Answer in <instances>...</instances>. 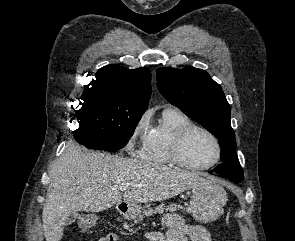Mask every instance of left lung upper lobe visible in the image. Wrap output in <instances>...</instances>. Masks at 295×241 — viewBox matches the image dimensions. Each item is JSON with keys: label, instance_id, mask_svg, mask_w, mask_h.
<instances>
[{"label": "left lung upper lobe", "instance_id": "left-lung-upper-lobe-1", "mask_svg": "<svg viewBox=\"0 0 295 241\" xmlns=\"http://www.w3.org/2000/svg\"><path fill=\"white\" fill-rule=\"evenodd\" d=\"M156 76L161 94L218 138L223 164L214 171L235 182L242 181L243 170L230 124V105L221 86L206 71L195 67L159 68Z\"/></svg>", "mask_w": 295, "mask_h": 241}]
</instances>
